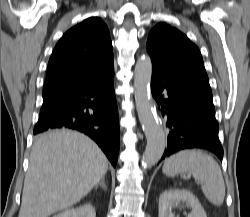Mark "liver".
<instances>
[{
  "label": "liver",
  "instance_id": "6515ba94",
  "mask_svg": "<svg viewBox=\"0 0 250 217\" xmlns=\"http://www.w3.org/2000/svg\"><path fill=\"white\" fill-rule=\"evenodd\" d=\"M107 170L105 154L87 136L67 129L39 135L30 155L19 217H48L73 206Z\"/></svg>",
  "mask_w": 250,
  "mask_h": 217
}]
</instances>
